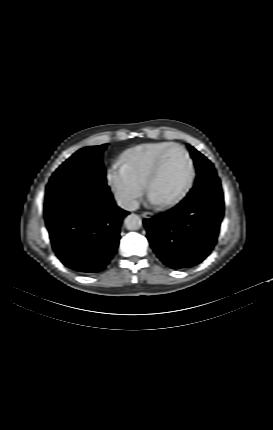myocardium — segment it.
I'll use <instances>...</instances> for the list:
<instances>
[{
  "label": "myocardium",
  "mask_w": 273,
  "mask_h": 430,
  "mask_svg": "<svg viewBox=\"0 0 273 430\" xmlns=\"http://www.w3.org/2000/svg\"><path fill=\"white\" fill-rule=\"evenodd\" d=\"M172 149H179L185 155L186 160L188 162V175H187V178H186L183 186L180 188V190L172 198H170L166 201H163V202H158L159 205L162 207H170V206H173L176 203H178L186 195V193L190 189V187L193 183V180H194V175H195L194 163H193V160H192L189 152L187 151V149L180 144L173 143V144L169 145L168 147H166L165 149H163L160 152V154L158 155V157L154 163V166L151 169V171H150V173L146 179V182H145V188H146L147 193L150 195L151 186L161 171L163 160H164L166 154L169 151H171Z\"/></svg>",
  "instance_id": "1"
}]
</instances>
